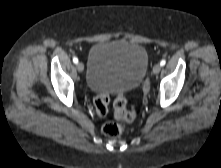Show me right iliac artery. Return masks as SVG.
Segmentation results:
<instances>
[{
	"label": "right iliac artery",
	"mask_w": 221,
	"mask_h": 168,
	"mask_svg": "<svg viewBox=\"0 0 221 168\" xmlns=\"http://www.w3.org/2000/svg\"><path fill=\"white\" fill-rule=\"evenodd\" d=\"M73 62H74L75 64H77V63H78V58H77V57H74V58H73Z\"/></svg>",
	"instance_id": "right-iliac-artery-1"
}]
</instances>
